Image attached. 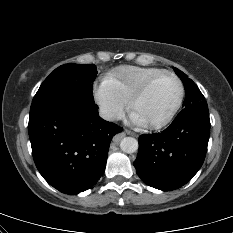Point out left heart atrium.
<instances>
[{"label": "left heart atrium", "instance_id": "1", "mask_svg": "<svg viewBox=\"0 0 233 233\" xmlns=\"http://www.w3.org/2000/svg\"><path fill=\"white\" fill-rule=\"evenodd\" d=\"M130 120L134 125L143 126L145 122L136 114L132 113L130 115Z\"/></svg>", "mask_w": 233, "mask_h": 233}]
</instances>
